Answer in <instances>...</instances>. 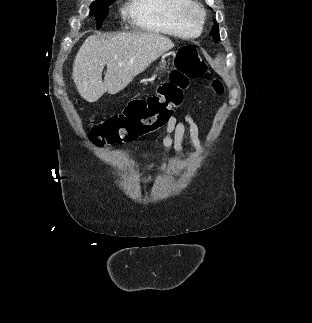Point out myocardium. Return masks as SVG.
<instances>
[{"instance_id": "f54148a6", "label": "myocardium", "mask_w": 312, "mask_h": 323, "mask_svg": "<svg viewBox=\"0 0 312 323\" xmlns=\"http://www.w3.org/2000/svg\"><path fill=\"white\" fill-rule=\"evenodd\" d=\"M178 4H188V6L180 5L181 10H177V17L185 19V21H193L195 25H199L209 15L207 10H201L200 3L193 0H177ZM193 2V3H192Z\"/></svg>"}]
</instances>
